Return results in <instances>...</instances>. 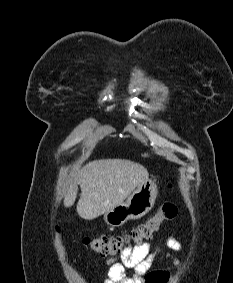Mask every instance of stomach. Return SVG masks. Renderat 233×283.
Here are the masks:
<instances>
[{
    "instance_id": "0dacf381",
    "label": "stomach",
    "mask_w": 233,
    "mask_h": 283,
    "mask_svg": "<svg viewBox=\"0 0 233 283\" xmlns=\"http://www.w3.org/2000/svg\"><path fill=\"white\" fill-rule=\"evenodd\" d=\"M158 188L156 181L147 178L141 182L127 200L104 213V220L109 226L119 227L132 219L146 215L153 207Z\"/></svg>"
}]
</instances>
